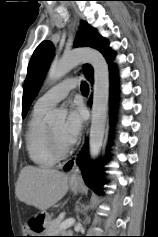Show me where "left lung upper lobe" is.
I'll use <instances>...</instances> for the list:
<instances>
[{
    "label": "left lung upper lobe",
    "mask_w": 158,
    "mask_h": 237,
    "mask_svg": "<svg viewBox=\"0 0 158 237\" xmlns=\"http://www.w3.org/2000/svg\"><path fill=\"white\" fill-rule=\"evenodd\" d=\"M92 47L99 50L106 58L109 65L113 64L115 52L109 47L108 41L100 36L97 30L91 27L86 21L81 22L80 32L77 34L74 47ZM54 55V46L50 41H43L34 51L28 65V72L24 83L23 94V118L36 96L40 87L43 75ZM87 76L93 75V69L85 65L83 67Z\"/></svg>",
    "instance_id": "1"
}]
</instances>
